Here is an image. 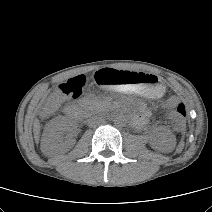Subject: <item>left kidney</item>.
<instances>
[{
	"label": "left kidney",
	"instance_id": "obj_1",
	"mask_svg": "<svg viewBox=\"0 0 212 212\" xmlns=\"http://www.w3.org/2000/svg\"><path fill=\"white\" fill-rule=\"evenodd\" d=\"M175 140V136L169 130H163L153 137L151 145L158 151L168 153L174 149Z\"/></svg>",
	"mask_w": 212,
	"mask_h": 212
}]
</instances>
